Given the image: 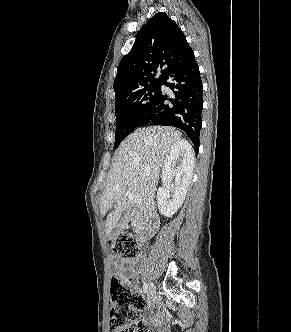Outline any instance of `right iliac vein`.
<instances>
[{"mask_svg": "<svg viewBox=\"0 0 291 332\" xmlns=\"http://www.w3.org/2000/svg\"><path fill=\"white\" fill-rule=\"evenodd\" d=\"M148 299H149L150 303H154V301L156 299V287L153 283H151L149 286Z\"/></svg>", "mask_w": 291, "mask_h": 332, "instance_id": "right-iliac-vein-1", "label": "right iliac vein"}]
</instances>
